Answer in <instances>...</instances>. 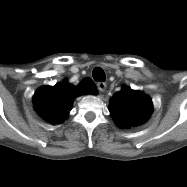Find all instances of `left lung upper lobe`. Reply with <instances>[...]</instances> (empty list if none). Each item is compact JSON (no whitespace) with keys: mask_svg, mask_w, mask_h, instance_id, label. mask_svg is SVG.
I'll return each instance as SVG.
<instances>
[{"mask_svg":"<svg viewBox=\"0 0 187 187\" xmlns=\"http://www.w3.org/2000/svg\"><path fill=\"white\" fill-rule=\"evenodd\" d=\"M110 112L120 128H130L143 123L152 113V101L143 92L123 88L111 98Z\"/></svg>","mask_w":187,"mask_h":187,"instance_id":"5c2ea615","label":"left lung upper lobe"}]
</instances>
